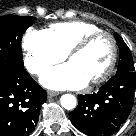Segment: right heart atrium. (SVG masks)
<instances>
[{"label": "right heart atrium", "mask_w": 136, "mask_h": 136, "mask_svg": "<svg viewBox=\"0 0 136 136\" xmlns=\"http://www.w3.org/2000/svg\"><path fill=\"white\" fill-rule=\"evenodd\" d=\"M22 48L24 65L34 75H41L65 57L44 30H27L23 35Z\"/></svg>", "instance_id": "right-heart-atrium-1"}]
</instances>
